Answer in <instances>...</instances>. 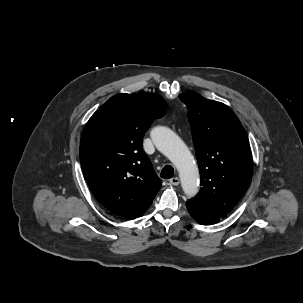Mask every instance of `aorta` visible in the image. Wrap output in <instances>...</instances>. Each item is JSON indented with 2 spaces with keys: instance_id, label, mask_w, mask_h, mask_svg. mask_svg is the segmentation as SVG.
<instances>
[{
  "instance_id": "aorta-1",
  "label": "aorta",
  "mask_w": 303,
  "mask_h": 303,
  "mask_svg": "<svg viewBox=\"0 0 303 303\" xmlns=\"http://www.w3.org/2000/svg\"><path fill=\"white\" fill-rule=\"evenodd\" d=\"M151 138L156 148L176 166L186 196H195L199 190V171L185 143L164 126L153 128Z\"/></svg>"
}]
</instances>
